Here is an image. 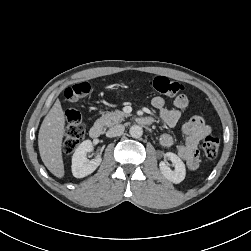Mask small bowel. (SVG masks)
I'll return each instance as SVG.
<instances>
[{
	"instance_id": "obj_1",
	"label": "small bowel",
	"mask_w": 251,
	"mask_h": 251,
	"mask_svg": "<svg viewBox=\"0 0 251 251\" xmlns=\"http://www.w3.org/2000/svg\"><path fill=\"white\" fill-rule=\"evenodd\" d=\"M151 103L158 110L160 120L167 126L174 127L180 120L181 111L188 106L189 100L184 94L177 96L173 101V109L166 108L165 100L160 96L154 97ZM211 131V126L200 116H193L183 124L182 133L185 139L177 146V153L190 170L194 171L198 168V144ZM160 143L168 148L174 144V139L170 134H163Z\"/></svg>"
}]
</instances>
